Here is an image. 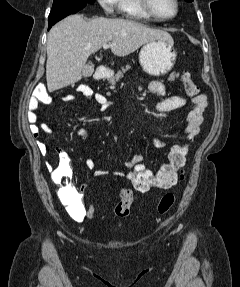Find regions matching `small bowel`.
<instances>
[{
  "label": "small bowel",
  "mask_w": 240,
  "mask_h": 287,
  "mask_svg": "<svg viewBox=\"0 0 240 287\" xmlns=\"http://www.w3.org/2000/svg\"><path fill=\"white\" fill-rule=\"evenodd\" d=\"M148 88L150 92L162 97V100L156 105V109L160 113H170L181 109L187 102V99L181 95H173L166 97L165 86L160 82L153 81L149 84ZM78 91L81 92L88 99L93 98L99 105L100 110L102 111H107L113 105V102L108 100L105 96L100 93H94L91 88L85 85L79 86ZM74 99L75 96L72 94H66L62 97V101L64 102H71ZM46 101H48V97ZM191 102L192 109L186 117L184 126V133L187 135L189 142L193 141L198 135L200 128L204 123L208 107L207 97L204 94H198L192 97ZM37 108L38 99L36 97H32L28 104L27 118L32 124L30 130L35 138H38L40 131L45 134L53 133V128L48 123H42L40 126L36 125ZM76 134L80 136L83 140H88V134L84 130L76 129ZM153 144L156 147H162L165 145V141L160 138H153ZM184 146L188 148V143L184 144ZM38 148L42 154H46L48 151L47 145L41 140H38ZM57 152L60 159L69 162V157L63 149L58 148ZM78 152H80V150H78ZM140 162H144V157L140 154H132L124 162V166L125 168L131 170L134 165ZM85 164L88 169L94 170V175L96 177L105 176L109 173L108 170L96 169L95 161L90 154L87 155L85 159ZM113 175L116 177L125 178L127 180L129 179V171L118 170L114 171ZM82 186L85 188V185ZM61 201L72 219L77 222H82L84 220V218L86 217V208L82 201V195L78 190H76L75 188H68L63 190L61 192Z\"/></svg>",
  "instance_id": "1"
}]
</instances>
